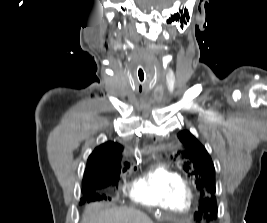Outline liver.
Returning a JSON list of instances; mask_svg holds the SVG:
<instances>
[{
  "label": "liver",
  "instance_id": "obj_1",
  "mask_svg": "<svg viewBox=\"0 0 267 223\" xmlns=\"http://www.w3.org/2000/svg\"><path fill=\"white\" fill-rule=\"evenodd\" d=\"M81 223H153V221L134 208L104 209L100 204H93L85 209Z\"/></svg>",
  "mask_w": 267,
  "mask_h": 223
}]
</instances>
